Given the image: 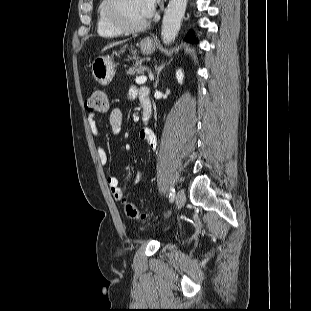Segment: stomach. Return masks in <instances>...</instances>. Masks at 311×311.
<instances>
[{
  "instance_id": "obj_1",
  "label": "stomach",
  "mask_w": 311,
  "mask_h": 311,
  "mask_svg": "<svg viewBox=\"0 0 311 311\" xmlns=\"http://www.w3.org/2000/svg\"><path fill=\"white\" fill-rule=\"evenodd\" d=\"M140 50L143 54H151L155 51V45L153 40L149 37L141 40L139 44ZM136 51H134V54ZM115 65L113 63L112 58L107 56H99L97 57L91 67L92 75L95 80L101 85H108L115 74Z\"/></svg>"
}]
</instances>
